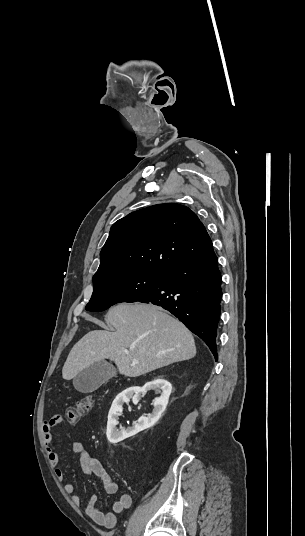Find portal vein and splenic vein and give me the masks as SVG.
I'll list each match as a JSON object with an SVG mask.
<instances>
[{
    "label": "portal vein and splenic vein",
    "mask_w": 305,
    "mask_h": 536,
    "mask_svg": "<svg viewBox=\"0 0 305 536\" xmlns=\"http://www.w3.org/2000/svg\"><path fill=\"white\" fill-rule=\"evenodd\" d=\"M135 364H139L138 360H132L131 366H135Z\"/></svg>",
    "instance_id": "portal-vein-and-splenic-vein-1"
}]
</instances>
